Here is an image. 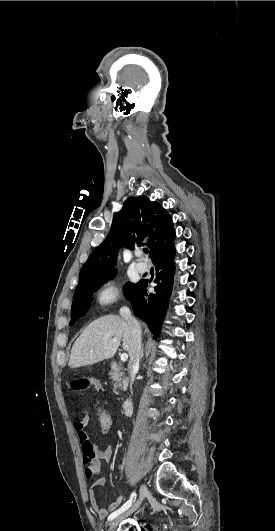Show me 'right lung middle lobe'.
<instances>
[{"instance_id":"right-lung-middle-lobe-1","label":"right lung middle lobe","mask_w":275,"mask_h":531,"mask_svg":"<svg viewBox=\"0 0 275 531\" xmlns=\"http://www.w3.org/2000/svg\"><path fill=\"white\" fill-rule=\"evenodd\" d=\"M116 275V271L95 277L93 279L88 280L86 283H84L81 287L76 289V292L73 297V303L71 307V321L70 325H72L75 321H77L80 317H82L87 309L89 308L90 299L93 294V291H97L100 286L108 281L110 278L112 279ZM134 286V283L128 282L125 285V296L129 294L131 288Z\"/></svg>"}]
</instances>
